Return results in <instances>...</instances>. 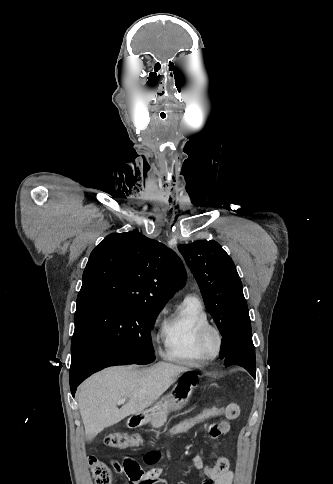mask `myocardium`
<instances>
[{"label": "myocardium", "instance_id": "f54148a6", "mask_svg": "<svg viewBox=\"0 0 333 484\" xmlns=\"http://www.w3.org/2000/svg\"><path fill=\"white\" fill-rule=\"evenodd\" d=\"M210 336H213L216 340V349L214 353H210L207 349V341ZM197 347L206 360L216 359L220 355L223 347V336L220 330L211 323L203 325L197 334Z\"/></svg>", "mask_w": 333, "mask_h": 484}]
</instances>
